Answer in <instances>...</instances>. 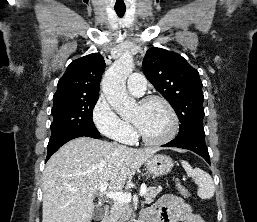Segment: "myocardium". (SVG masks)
<instances>
[{
  "mask_svg": "<svg viewBox=\"0 0 257 222\" xmlns=\"http://www.w3.org/2000/svg\"><path fill=\"white\" fill-rule=\"evenodd\" d=\"M152 102H160L166 107V109L169 112L170 117H171V129H170V131L165 136H163L162 138L148 139L147 137H145L144 135H142L140 133L137 126L133 122H132V125H133L134 130H135V136L139 140H141L146 145L160 146V145H164V144L169 143L177 135L178 130H179V117H178L174 107L172 106V104L166 98H164L162 96H158V95L148 96V97H145L142 100H140L138 104L140 106H145V105L150 104Z\"/></svg>",
  "mask_w": 257,
  "mask_h": 222,
  "instance_id": "obj_1",
  "label": "myocardium"
}]
</instances>
